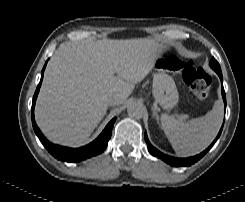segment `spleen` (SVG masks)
Wrapping results in <instances>:
<instances>
[{
  "label": "spleen",
  "mask_w": 245,
  "mask_h": 202,
  "mask_svg": "<svg viewBox=\"0 0 245 202\" xmlns=\"http://www.w3.org/2000/svg\"><path fill=\"white\" fill-rule=\"evenodd\" d=\"M161 127L175 152L191 156L203 151L215 138L223 121V104L217 100L206 115L189 121L161 115Z\"/></svg>",
  "instance_id": "obj_1"
}]
</instances>
